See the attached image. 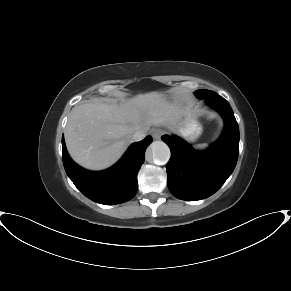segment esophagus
I'll return each instance as SVG.
<instances>
[{
    "label": "esophagus",
    "mask_w": 291,
    "mask_h": 291,
    "mask_svg": "<svg viewBox=\"0 0 291 291\" xmlns=\"http://www.w3.org/2000/svg\"><path fill=\"white\" fill-rule=\"evenodd\" d=\"M163 130L160 128H156L152 131V137L156 140L160 139V137L163 135Z\"/></svg>",
    "instance_id": "obj_1"
}]
</instances>
